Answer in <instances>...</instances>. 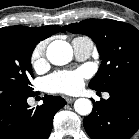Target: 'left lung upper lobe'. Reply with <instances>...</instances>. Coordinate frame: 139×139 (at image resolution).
I'll list each match as a JSON object with an SVG mask.
<instances>
[{
  "label": "left lung upper lobe",
  "instance_id": "1",
  "mask_svg": "<svg viewBox=\"0 0 139 139\" xmlns=\"http://www.w3.org/2000/svg\"><path fill=\"white\" fill-rule=\"evenodd\" d=\"M63 28L85 34L97 44L102 63L90 88L108 91L127 77L139 74V31L132 25L111 19H87Z\"/></svg>",
  "mask_w": 139,
  "mask_h": 139
}]
</instances>
